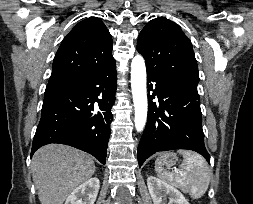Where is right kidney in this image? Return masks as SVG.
<instances>
[{
  "label": "right kidney",
  "mask_w": 253,
  "mask_h": 204,
  "mask_svg": "<svg viewBox=\"0 0 253 204\" xmlns=\"http://www.w3.org/2000/svg\"><path fill=\"white\" fill-rule=\"evenodd\" d=\"M99 187V179L97 177L90 178L73 190L65 204H94Z\"/></svg>",
  "instance_id": "obj_1"
}]
</instances>
